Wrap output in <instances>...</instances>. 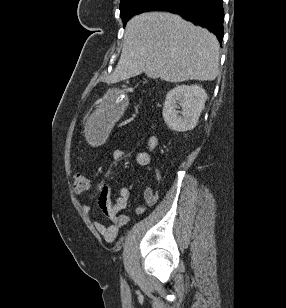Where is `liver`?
<instances>
[{
	"instance_id": "1",
	"label": "liver",
	"mask_w": 286,
	"mask_h": 308,
	"mask_svg": "<svg viewBox=\"0 0 286 308\" xmlns=\"http://www.w3.org/2000/svg\"><path fill=\"white\" fill-rule=\"evenodd\" d=\"M214 34L167 12L136 15L126 25L118 64L108 77L117 83L145 73L167 82L212 81L218 75Z\"/></svg>"
}]
</instances>
